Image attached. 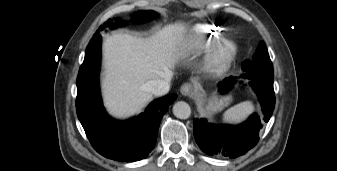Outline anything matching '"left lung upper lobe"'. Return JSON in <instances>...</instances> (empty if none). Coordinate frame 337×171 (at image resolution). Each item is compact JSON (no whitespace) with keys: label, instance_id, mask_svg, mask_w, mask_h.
<instances>
[{"label":"left lung upper lobe","instance_id":"5c2ea615","mask_svg":"<svg viewBox=\"0 0 337 171\" xmlns=\"http://www.w3.org/2000/svg\"><path fill=\"white\" fill-rule=\"evenodd\" d=\"M242 69L244 71H259L273 74V65L263 41L259 43L252 60H247L243 63Z\"/></svg>","mask_w":337,"mask_h":171}]
</instances>
